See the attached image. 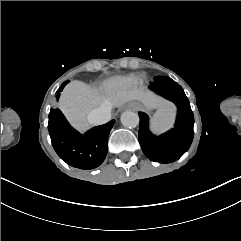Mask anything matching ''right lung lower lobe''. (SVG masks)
Returning <instances> with one entry per match:
<instances>
[{"mask_svg":"<svg viewBox=\"0 0 241 241\" xmlns=\"http://www.w3.org/2000/svg\"><path fill=\"white\" fill-rule=\"evenodd\" d=\"M115 123L112 120L80 134L73 129L59 109H51L48 130L52 145L70 166L79 169H94L102 164L108 151V135Z\"/></svg>","mask_w":241,"mask_h":241,"instance_id":"right-lung-lower-lobe-1","label":"right lung lower lobe"}]
</instances>
